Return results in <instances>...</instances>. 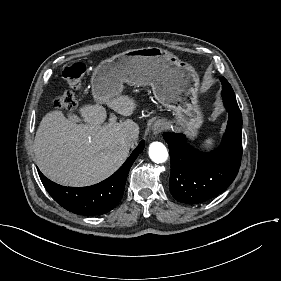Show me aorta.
<instances>
[{
	"mask_svg": "<svg viewBox=\"0 0 281 281\" xmlns=\"http://www.w3.org/2000/svg\"><path fill=\"white\" fill-rule=\"evenodd\" d=\"M150 159L159 164L164 163L168 158V151L161 142H152L149 146Z\"/></svg>",
	"mask_w": 281,
	"mask_h": 281,
	"instance_id": "1",
	"label": "aorta"
}]
</instances>
